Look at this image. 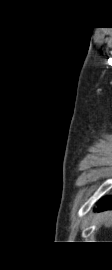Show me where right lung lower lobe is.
<instances>
[{
	"instance_id": "98d812e1",
	"label": "right lung lower lobe",
	"mask_w": 112,
	"mask_h": 270,
	"mask_svg": "<svg viewBox=\"0 0 112 270\" xmlns=\"http://www.w3.org/2000/svg\"><path fill=\"white\" fill-rule=\"evenodd\" d=\"M108 209L112 210V196L107 197L98 203L97 211H103Z\"/></svg>"
}]
</instances>
